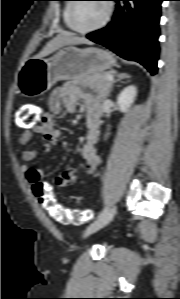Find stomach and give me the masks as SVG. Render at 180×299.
Wrapping results in <instances>:
<instances>
[{
    "instance_id": "stomach-1",
    "label": "stomach",
    "mask_w": 180,
    "mask_h": 299,
    "mask_svg": "<svg viewBox=\"0 0 180 299\" xmlns=\"http://www.w3.org/2000/svg\"><path fill=\"white\" fill-rule=\"evenodd\" d=\"M115 64L113 55L103 49L67 46L50 58L27 60L18 71V90L25 97H38L49 91L57 81L102 73Z\"/></svg>"
}]
</instances>
